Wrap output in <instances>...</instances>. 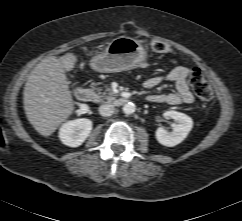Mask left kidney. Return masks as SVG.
Listing matches in <instances>:
<instances>
[{
	"mask_svg": "<svg viewBox=\"0 0 242 221\" xmlns=\"http://www.w3.org/2000/svg\"><path fill=\"white\" fill-rule=\"evenodd\" d=\"M164 117L172 118L177 123L172 132L159 127L155 133L156 139L164 146H176L187 137L193 127V121L188 115L177 111H166Z\"/></svg>",
	"mask_w": 242,
	"mask_h": 221,
	"instance_id": "left-kidney-1",
	"label": "left kidney"
}]
</instances>
